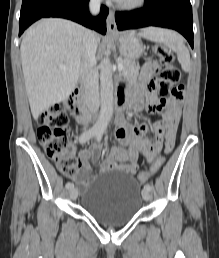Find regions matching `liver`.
Masks as SVG:
<instances>
[{"label":"liver","mask_w":219,"mask_h":258,"mask_svg":"<svg viewBox=\"0 0 219 258\" xmlns=\"http://www.w3.org/2000/svg\"><path fill=\"white\" fill-rule=\"evenodd\" d=\"M85 31L59 18L41 19L26 31L20 46L21 64L35 118L64 101L75 88L81 75ZM95 37L99 43V35ZM61 65L66 69H60Z\"/></svg>","instance_id":"obj_1"}]
</instances>
